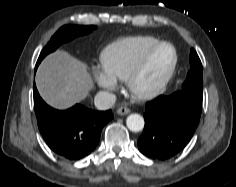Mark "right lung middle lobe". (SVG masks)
<instances>
[{
	"instance_id": "obj_1",
	"label": "right lung middle lobe",
	"mask_w": 236,
	"mask_h": 187,
	"mask_svg": "<svg viewBox=\"0 0 236 187\" xmlns=\"http://www.w3.org/2000/svg\"><path fill=\"white\" fill-rule=\"evenodd\" d=\"M95 26H78V25H65L61 27L51 38L48 44L40 53L36 66L42 59L50 52L55 51L62 43L72 40L73 38L81 35L88 34L95 29Z\"/></svg>"
}]
</instances>
